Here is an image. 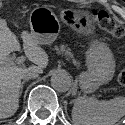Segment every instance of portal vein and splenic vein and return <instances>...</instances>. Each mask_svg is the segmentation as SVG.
<instances>
[{"label": "portal vein and splenic vein", "instance_id": "1", "mask_svg": "<svg viewBox=\"0 0 125 125\" xmlns=\"http://www.w3.org/2000/svg\"><path fill=\"white\" fill-rule=\"evenodd\" d=\"M24 57L23 56H21V57H18L17 59H16V64L17 65H21L23 62H24Z\"/></svg>", "mask_w": 125, "mask_h": 125}]
</instances>
